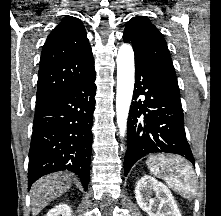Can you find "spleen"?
<instances>
[{
  "mask_svg": "<svg viewBox=\"0 0 221 216\" xmlns=\"http://www.w3.org/2000/svg\"><path fill=\"white\" fill-rule=\"evenodd\" d=\"M147 167L157 178L163 179L169 188L183 197L196 194L195 173L191 164L180 156H151Z\"/></svg>",
  "mask_w": 221,
  "mask_h": 216,
  "instance_id": "3e777b00",
  "label": "spleen"
}]
</instances>
